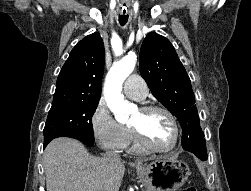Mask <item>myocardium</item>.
<instances>
[{"label":"myocardium","mask_w":251,"mask_h":191,"mask_svg":"<svg viewBox=\"0 0 251 191\" xmlns=\"http://www.w3.org/2000/svg\"><path fill=\"white\" fill-rule=\"evenodd\" d=\"M140 110L145 112V113H151V112H154V111L164 112L171 119V121L173 123L176 139H175L174 145L171 148L165 149V150L158 149V148H156V147H154L153 145L150 144V142L147 140L144 132L140 128L131 125V129L134 132L138 143L144 149H146L147 151L152 152V153L172 154V153L176 152L179 149L180 145H181L182 132H181V128H180L178 119L175 116V114L170 109H168L167 107L162 106V105H156V104H149V105L142 106L140 108Z\"/></svg>","instance_id":"f54148a6"}]
</instances>
